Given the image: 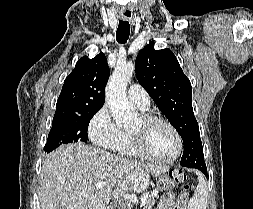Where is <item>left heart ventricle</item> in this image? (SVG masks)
<instances>
[{
    "mask_svg": "<svg viewBox=\"0 0 253 209\" xmlns=\"http://www.w3.org/2000/svg\"><path fill=\"white\" fill-rule=\"evenodd\" d=\"M143 129L145 134V148L154 157L168 159L176 151V138L172 130L162 122H154L142 127L141 120L131 130Z\"/></svg>",
    "mask_w": 253,
    "mask_h": 209,
    "instance_id": "1",
    "label": "left heart ventricle"
}]
</instances>
